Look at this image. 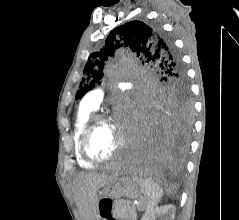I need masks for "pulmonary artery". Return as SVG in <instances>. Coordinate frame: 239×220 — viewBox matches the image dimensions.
Listing matches in <instances>:
<instances>
[{
	"instance_id": "e3ab8cb5",
	"label": "pulmonary artery",
	"mask_w": 239,
	"mask_h": 220,
	"mask_svg": "<svg viewBox=\"0 0 239 220\" xmlns=\"http://www.w3.org/2000/svg\"><path fill=\"white\" fill-rule=\"evenodd\" d=\"M103 99V91L102 89H94L90 91L81 101V106L90 109L95 110L101 103Z\"/></svg>"
}]
</instances>
